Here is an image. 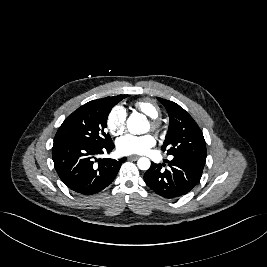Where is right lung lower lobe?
Here are the masks:
<instances>
[{
	"label": "right lung lower lobe",
	"instance_id": "98d812e1",
	"mask_svg": "<svg viewBox=\"0 0 267 267\" xmlns=\"http://www.w3.org/2000/svg\"><path fill=\"white\" fill-rule=\"evenodd\" d=\"M114 144L106 146L58 143L53 145L52 158L55 170L64 184L74 192L91 195L107 187L116 177L126 157L121 159H96L104 152L110 153Z\"/></svg>",
	"mask_w": 267,
	"mask_h": 267
}]
</instances>
